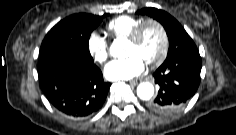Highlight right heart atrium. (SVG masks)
<instances>
[{"label":"right heart atrium","mask_w":236,"mask_h":135,"mask_svg":"<svg viewBox=\"0 0 236 135\" xmlns=\"http://www.w3.org/2000/svg\"><path fill=\"white\" fill-rule=\"evenodd\" d=\"M87 48L92 59L97 64H102L109 54L107 39L97 32H92L87 40Z\"/></svg>","instance_id":"obj_1"}]
</instances>
